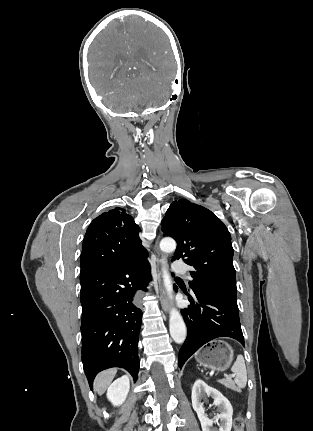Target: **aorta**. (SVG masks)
<instances>
[{
	"label": "aorta",
	"mask_w": 313,
	"mask_h": 431,
	"mask_svg": "<svg viewBox=\"0 0 313 431\" xmlns=\"http://www.w3.org/2000/svg\"><path fill=\"white\" fill-rule=\"evenodd\" d=\"M160 249L165 253L173 252L176 249L175 240L172 238H163L160 242ZM163 264H165L164 261ZM162 272L164 286L167 291V294L170 299H173V285L171 277L165 266L163 267ZM169 329L170 335L174 342H176L177 344H182L185 341L187 334L186 326L180 312L175 308H172L170 311Z\"/></svg>",
	"instance_id": "1"
}]
</instances>
